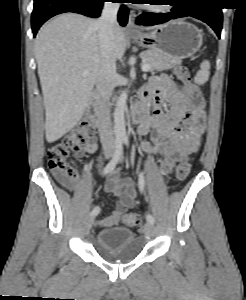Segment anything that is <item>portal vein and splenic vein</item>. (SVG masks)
<instances>
[{"label":"portal vein and splenic vein","instance_id":"18ae733b","mask_svg":"<svg viewBox=\"0 0 246 300\" xmlns=\"http://www.w3.org/2000/svg\"><path fill=\"white\" fill-rule=\"evenodd\" d=\"M142 71L143 72H148L150 67L148 64H142V67H141ZM89 74V71H84L83 72V76H87Z\"/></svg>","mask_w":246,"mask_h":300}]
</instances>
